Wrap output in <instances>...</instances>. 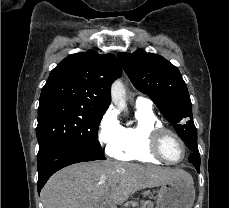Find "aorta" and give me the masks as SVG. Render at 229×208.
Here are the masks:
<instances>
[{
    "label": "aorta",
    "instance_id": "obj_1",
    "mask_svg": "<svg viewBox=\"0 0 229 208\" xmlns=\"http://www.w3.org/2000/svg\"><path fill=\"white\" fill-rule=\"evenodd\" d=\"M111 99L119 108L127 110L126 106V90L124 84L120 80H116L111 87Z\"/></svg>",
    "mask_w": 229,
    "mask_h": 208
}]
</instances>
